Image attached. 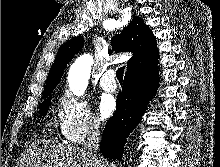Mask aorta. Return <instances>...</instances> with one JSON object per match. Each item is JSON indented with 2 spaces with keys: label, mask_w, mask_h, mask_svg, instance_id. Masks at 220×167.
<instances>
[{
  "label": "aorta",
  "mask_w": 220,
  "mask_h": 167,
  "mask_svg": "<svg viewBox=\"0 0 220 167\" xmlns=\"http://www.w3.org/2000/svg\"><path fill=\"white\" fill-rule=\"evenodd\" d=\"M92 64L93 58L89 55H83L71 66L68 82L73 94L80 96L85 92L90 78Z\"/></svg>",
  "instance_id": "aorta-1"
}]
</instances>
